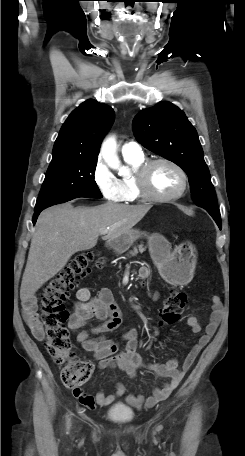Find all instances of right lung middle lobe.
<instances>
[{
    "label": "right lung middle lobe",
    "instance_id": "dd1d6c3e",
    "mask_svg": "<svg viewBox=\"0 0 245 456\" xmlns=\"http://www.w3.org/2000/svg\"><path fill=\"white\" fill-rule=\"evenodd\" d=\"M98 157H78L50 163L35 211L77 197L102 198L94 180Z\"/></svg>",
    "mask_w": 245,
    "mask_h": 456
}]
</instances>
